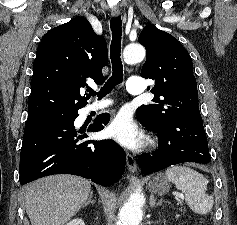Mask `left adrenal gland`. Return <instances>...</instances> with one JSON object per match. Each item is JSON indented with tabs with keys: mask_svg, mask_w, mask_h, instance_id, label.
Segmentation results:
<instances>
[{
	"mask_svg": "<svg viewBox=\"0 0 237 225\" xmlns=\"http://www.w3.org/2000/svg\"><path fill=\"white\" fill-rule=\"evenodd\" d=\"M149 204H150V207H155V206H161L162 202L161 201L156 202V199H155L154 195L152 194L150 196Z\"/></svg>",
	"mask_w": 237,
	"mask_h": 225,
	"instance_id": "obj_1",
	"label": "left adrenal gland"
}]
</instances>
